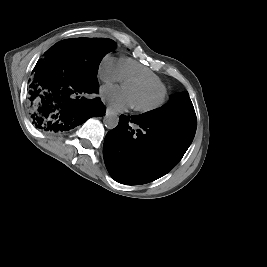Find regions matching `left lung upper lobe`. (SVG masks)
I'll use <instances>...</instances> for the list:
<instances>
[{"label": "left lung upper lobe", "mask_w": 267, "mask_h": 267, "mask_svg": "<svg viewBox=\"0 0 267 267\" xmlns=\"http://www.w3.org/2000/svg\"><path fill=\"white\" fill-rule=\"evenodd\" d=\"M143 120L171 122L196 129L197 119L188 92L176 93L161 108L139 115Z\"/></svg>", "instance_id": "obj_1"}]
</instances>
